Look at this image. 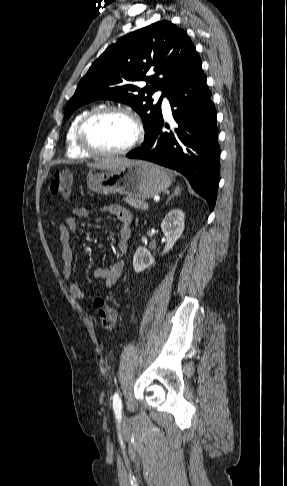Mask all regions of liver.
Wrapping results in <instances>:
<instances>
[{"mask_svg": "<svg viewBox=\"0 0 287 486\" xmlns=\"http://www.w3.org/2000/svg\"><path fill=\"white\" fill-rule=\"evenodd\" d=\"M128 161L129 160L126 158H111V159L102 160L97 163H87V166L92 169L114 170L118 168L122 163Z\"/></svg>", "mask_w": 287, "mask_h": 486, "instance_id": "liver-1", "label": "liver"}]
</instances>
